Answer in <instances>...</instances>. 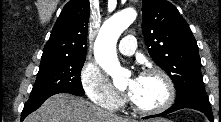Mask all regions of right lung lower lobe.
<instances>
[{
	"label": "right lung lower lobe",
	"instance_id": "98d812e1",
	"mask_svg": "<svg viewBox=\"0 0 221 122\" xmlns=\"http://www.w3.org/2000/svg\"><path fill=\"white\" fill-rule=\"evenodd\" d=\"M57 93H71L76 96L83 95V94H80V93H77L74 91H70V90H57V91L49 92L46 94H41V95H37V96H30L29 100L24 105V109L21 114V121H23L26 118V116L29 115L31 112L38 109L47 98H49L50 96L55 95Z\"/></svg>",
	"mask_w": 221,
	"mask_h": 122
}]
</instances>
